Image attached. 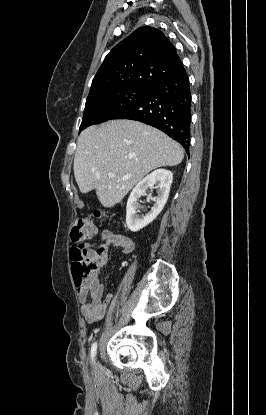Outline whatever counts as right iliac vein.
Masks as SVG:
<instances>
[{"mask_svg":"<svg viewBox=\"0 0 266 415\" xmlns=\"http://www.w3.org/2000/svg\"><path fill=\"white\" fill-rule=\"evenodd\" d=\"M95 369H96V370H98V369H99V363H98V362H96V364H95Z\"/></svg>","mask_w":266,"mask_h":415,"instance_id":"obj_1","label":"right iliac vein"}]
</instances>
